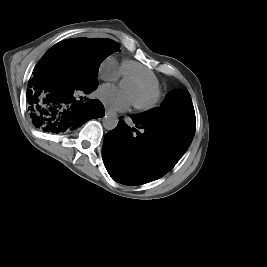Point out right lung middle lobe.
Returning a JSON list of instances; mask_svg holds the SVG:
<instances>
[{"instance_id": "right-lung-middle-lobe-1", "label": "right lung middle lobe", "mask_w": 267, "mask_h": 267, "mask_svg": "<svg viewBox=\"0 0 267 267\" xmlns=\"http://www.w3.org/2000/svg\"><path fill=\"white\" fill-rule=\"evenodd\" d=\"M119 50V44L107 38H73L52 46L39 63L64 73L76 86L97 88L101 62Z\"/></svg>"}]
</instances>
